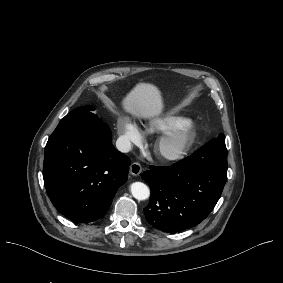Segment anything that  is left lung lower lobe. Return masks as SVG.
<instances>
[{
  "instance_id": "1",
  "label": "left lung lower lobe",
  "mask_w": 283,
  "mask_h": 283,
  "mask_svg": "<svg viewBox=\"0 0 283 283\" xmlns=\"http://www.w3.org/2000/svg\"><path fill=\"white\" fill-rule=\"evenodd\" d=\"M142 179L151 188L146 220L164 232L191 228L208 216L221 196L227 180L225 141L212 139L171 166H150Z\"/></svg>"
}]
</instances>
